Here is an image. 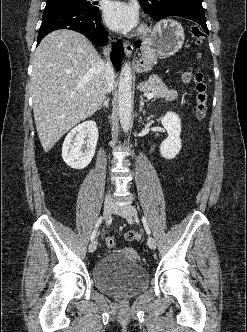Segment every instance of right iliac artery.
Listing matches in <instances>:
<instances>
[{"label": "right iliac artery", "mask_w": 247, "mask_h": 332, "mask_svg": "<svg viewBox=\"0 0 247 332\" xmlns=\"http://www.w3.org/2000/svg\"><path fill=\"white\" fill-rule=\"evenodd\" d=\"M102 221H103V217H99L97 222H96L95 228H94V230L91 234V238H90L91 241H93L95 239L96 234H97V230H98L99 226L101 225Z\"/></svg>", "instance_id": "1"}]
</instances>
